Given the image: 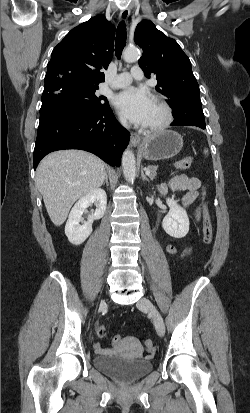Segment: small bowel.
<instances>
[{"label":"small bowel","mask_w":250,"mask_h":413,"mask_svg":"<svg viewBox=\"0 0 250 413\" xmlns=\"http://www.w3.org/2000/svg\"><path fill=\"white\" fill-rule=\"evenodd\" d=\"M199 189H200V181L197 178L189 177L185 174H178L175 177H173L170 181H168L167 183H164L161 185V190L163 192L185 191L186 193L182 198V204L185 207L190 206L196 200L199 194ZM199 216H200V208H197L196 218L198 219ZM165 249L169 254L177 255L180 258L187 256L190 252L189 248L179 250L171 244H166ZM115 349L116 348H113V349L102 348L100 345L96 346V351L97 353H100V354H109L113 352V350Z\"/></svg>","instance_id":"c3829d8e"}]
</instances>
